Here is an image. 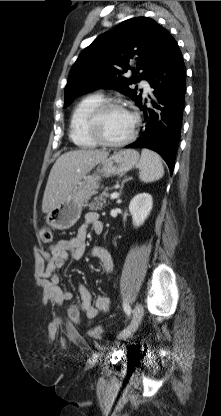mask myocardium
<instances>
[{"label": "myocardium", "mask_w": 221, "mask_h": 416, "mask_svg": "<svg viewBox=\"0 0 221 416\" xmlns=\"http://www.w3.org/2000/svg\"><path fill=\"white\" fill-rule=\"evenodd\" d=\"M110 108H121L129 112L132 116L133 123L129 135L121 141H110L102 133L100 128L101 118L103 114ZM140 124L139 115L121 100L106 99L97 105L91 112L87 121V130L92 138L100 145L119 148L129 144L136 136Z\"/></svg>", "instance_id": "f54148a6"}]
</instances>
